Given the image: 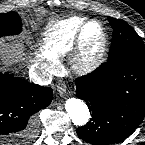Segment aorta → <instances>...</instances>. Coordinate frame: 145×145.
Segmentation results:
<instances>
[{
    "instance_id": "aorta-1",
    "label": "aorta",
    "mask_w": 145,
    "mask_h": 145,
    "mask_svg": "<svg viewBox=\"0 0 145 145\" xmlns=\"http://www.w3.org/2000/svg\"><path fill=\"white\" fill-rule=\"evenodd\" d=\"M65 109L71 121L78 126L85 125L90 119V112L87 105L77 98H70L66 101Z\"/></svg>"
}]
</instances>
